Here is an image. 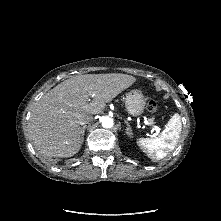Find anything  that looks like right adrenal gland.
<instances>
[{"instance_id":"obj_1","label":"right adrenal gland","mask_w":221,"mask_h":221,"mask_svg":"<svg viewBox=\"0 0 221 221\" xmlns=\"http://www.w3.org/2000/svg\"><path fill=\"white\" fill-rule=\"evenodd\" d=\"M85 129H86V125H84V126L81 128V143H83V141H84Z\"/></svg>"}]
</instances>
